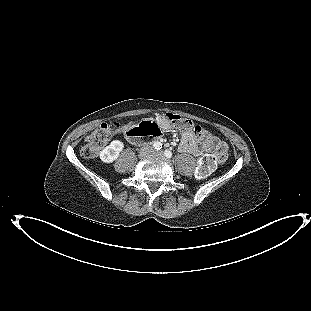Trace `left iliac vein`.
<instances>
[{
    "label": "left iliac vein",
    "mask_w": 311,
    "mask_h": 311,
    "mask_svg": "<svg viewBox=\"0 0 311 311\" xmlns=\"http://www.w3.org/2000/svg\"><path fill=\"white\" fill-rule=\"evenodd\" d=\"M153 153H154V154H158V155H162V154H163L162 151H154Z\"/></svg>",
    "instance_id": "obj_1"
}]
</instances>
